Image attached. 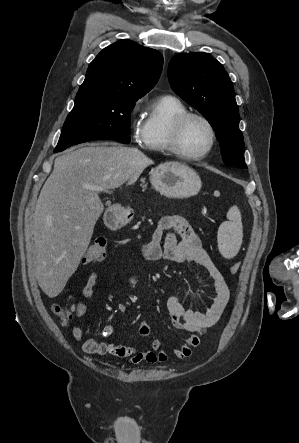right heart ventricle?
I'll return each instance as SVG.
<instances>
[{
	"label": "right heart ventricle",
	"instance_id": "obj_1",
	"mask_svg": "<svg viewBox=\"0 0 299 443\" xmlns=\"http://www.w3.org/2000/svg\"><path fill=\"white\" fill-rule=\"evenodd\" d=\"M187 111L176 97L161 96L149 107L139 138L141 146L152 152H171L169 134L174 118Z\"/></svg>",
	"mask_w": 299,
	"mask_h": 443
}]
</instances>
